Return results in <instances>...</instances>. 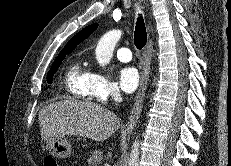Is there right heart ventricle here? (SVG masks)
<instances>
[{
  "mask_svg": "<svg viewBox=\"0 0 231 166\" xmlns=\"http://www.w3.org/2000/svg\"><path fill=\"white\" fill-rule=\"evenodd\" d=\"M90 71L82 61L73 62L67 69L65 85L76 99L85 100L89 96Z\"/></svg>",
  "mask_w": 231,
  "mask_h": 166,
  "instance_id": "1",
  "label": "right heart ventricle"
}]
</instances>
